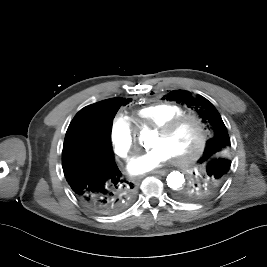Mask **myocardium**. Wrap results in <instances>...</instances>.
I'll return each mask as SVG.
<instances>
[{"label": "myocardium", "instance_id": "f54148a6", "mask_svg": "<svg viewBox=\"0 0 267 267\" xmlns=\"http://www.w3.org/2000/svg\"><path fill=\"white\" fill-rule=\"evenodd\" d=\"M187 120H190L196 124L199 132V137L194 149L190 153L184 156H173L175 161L178 164L182 165L189 164L194 161L205 149L207 141V132L202 119L196 114L184 113L167 120L156 128L159 134L167 135L174 131L181 123Z\"/></svg>", "mask_w": 267, "mask_h": 267}]
</instances>
